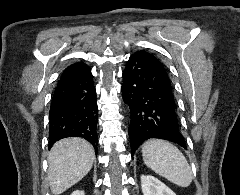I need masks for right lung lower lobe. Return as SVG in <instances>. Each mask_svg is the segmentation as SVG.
<instances>
[{
    "mask_svg": "<svg viewBox=\"0 0 240 195\" xmlns=\"http://www.w3.org/2000/svg\"><path fill=\"white\" fill-rule=\"evenodd\" d=\"M49 148L62 138L83 137L97 152L98 107L90 69L61 78L55 87L49 112Z\"/></svg>",
    "mask_w": 240,
    "mask_h": 195,
    "instance_id": "1",
    "label": "right lung lower lobe"
}]
</instances>
